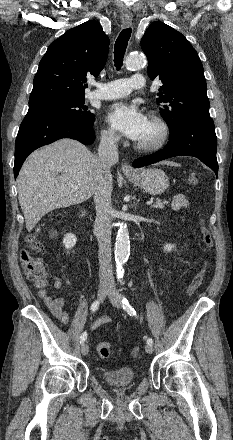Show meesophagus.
Returning a JSON list of instances; mask_svg holds the SVG:
<instances>
[{"mask_svg": "<svg viewBox=\"0 0 233 440\" xmlns=\"http://www.w3.org/2000/svg\"><path fill=\"white\" fill-rule=\"evenodd\" d=\"M122 23L125 27L132 26V17L131 16H125L122 18ZM121 170L125 174H133L135 173V170L128 164L127 162H123L121 165Z\"/></svg>", "mask_w": 233, "mask_h": 440, "instance_id": "esophagus-1", "label": "esophagus"}]
</instances>
